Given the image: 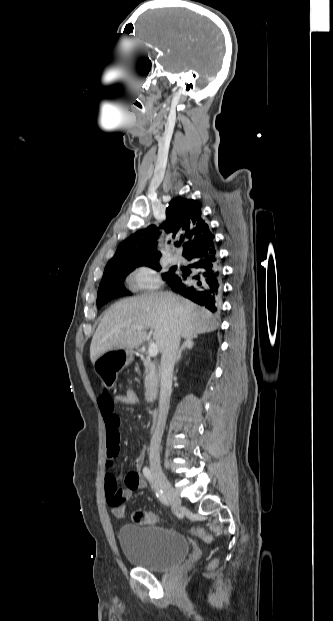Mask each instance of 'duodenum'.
<instances>
[{
	"label": "duodenum",
	"instance_id": "410a0bca",
	"mask_svg": "<svg viewBox=\"0 0 333 621\" xmlns=\"http://www.w3.org/2000/svg\"><path fill=\"white\" fill-rule=\"evenodd\" d=\"M156 420H157V417H156V415H154L153 416V421H152V424H151V432H153L155 430Z\"/></svg>",
	"mask_w": 333,
	"mask_h": 621
}]
</instances>
